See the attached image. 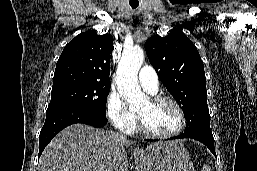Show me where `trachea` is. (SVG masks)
<instances>
[{
	"mask_svg": "<svg viewBox=\"0 0 257 171\" xmlns=\"http://www.w3.org/2000/svg\"><path fill=\"white\" fill-rule=\"evenodd\" d=\"M138 5H139L138 3H130V6H131L133 9L137 8Z\"/></svg>",
	"mask_w": 257,
	"mask_h": 171,
	"instance_id": "3493384b",
	"label": "trachea"
}]
</instances>
